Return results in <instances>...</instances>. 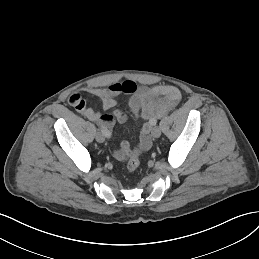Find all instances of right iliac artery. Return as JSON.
Here are the masks:
<instances>
[{"instance_id":"obj_1","label":"right iliac artery","mask_w":259,"mask_h":259,"mask_svg":"<svg viewBox=\"0 0 259 259\" xmlns=\"http://www.w3.org/2000/svg\"><path fill=\"white\" fill-rule=\"evenodd\" d=\"M101 132H102V134H103L105 137H107V138H110V137H111V132L108 131L107 129L101 128Z\"/></svg>"}]
</instances>
